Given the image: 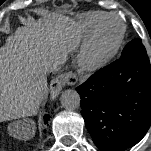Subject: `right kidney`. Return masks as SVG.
<instances>
[{"label":"right kidney","instance_id":"right-kidney-1","mask_svg":"<svg viewBox=\"0 0 151 151\" xmlns=\"http://www.w3.org/2000/svg\"><path fill=\"white\" fill-rule=\"evenodd\" d=\"M27 134H28V133H27ZM27 134H26V135H24V138H26ZM26 139H28V138H26Z\"/></svg>","mask_w":151,"mask_h":151}]
</instances>
